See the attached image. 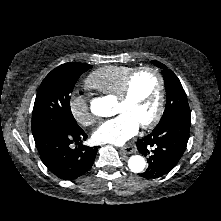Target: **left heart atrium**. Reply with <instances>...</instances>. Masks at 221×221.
Listing matches in <instances>:
<instances>
[{
  "label": "left heart atrium",
  "mask_w": 221,
  "mask_h": 221,
  "mask_svg": "<svg viewBox=\"0 0 221 221\" xmlns=\"http://www.w3.org/2000/svg\"><path fill=\"white\" fill-rule=\"evenodd\" d=\"M139 129V123L129 114L120 113L102 123L93 133L98 143L121 145L132 138Z\"/></svg>",
  "instance_id": "obj_1"
}]
</instances>
